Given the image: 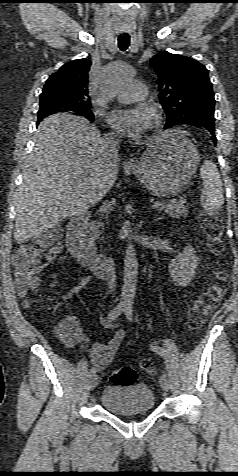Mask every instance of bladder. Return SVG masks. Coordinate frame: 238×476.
Segmentation results:
<instances>
[{
    "mask_svg": "<svg viewBox=\"0 0 238 476\" xmlns=\"http://www.w3.org/2000/svg\"><path fill=\"white\" fill-rule=\"evenodd\" d=\"M101 406L116 416L150 412L155 406L151 388L145 384L108 385L100 397Z\"/></svg>",
    "mask_w": 238,
    "mask_h": 476,
    "instance_id": "obj_1",
    "label": "bladder"
}]
</instances>
